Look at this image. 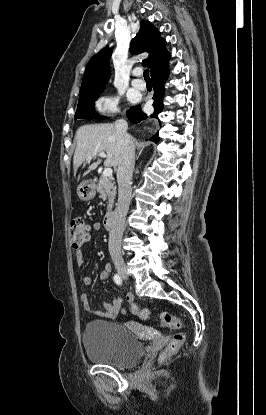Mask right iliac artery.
<instances>
[{
    "label": "right iliac artery",
    "mask_w": 266,
    "mask_h": 415,
    "mask_svg": "<svg viewBox=\"0 0 266 415\" xmlns=\"http://www.w3.org/2000/svg\"><path fill=\"white\" fill-rule=\"evenodd\" d=\"M114 281L117 285H121L122 284V279L118 274L114 275Z\"/></svg>",
    "instance_id": "obj_1"
}]
</instances>
